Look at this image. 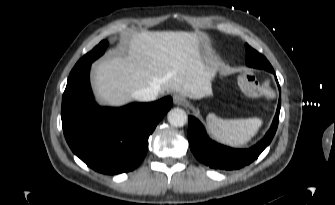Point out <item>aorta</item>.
Wrapping results in <instances>:
<instances>
[{"instance_id":"aorta-1","label":"aorta","mask_w":335,"mask_h":205,"mask_svg":"<svg viewBox=\"0 0 335 205\" xmlns=\"http://www.w3.org/2000/svg\"><path fill=\"white\" fill-rule=\"evenodd\" d=\"M167 119L172 126L182 127L187 123L188 116L183 109L174 108L168 112Z\"/></svg>"}]
</instances>
